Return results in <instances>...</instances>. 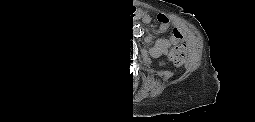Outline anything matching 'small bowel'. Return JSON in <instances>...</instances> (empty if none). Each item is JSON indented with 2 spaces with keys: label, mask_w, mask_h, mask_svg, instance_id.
Instances as JSON below:
<instances>
[{
  "label": "small bowel",
  "mask_w": 255,
  "mask_h": 122,
  "mask_svg": "<svg viewBox=\"0 0 255 122\" xmlns=\"http://www.w3.org/2000/svg\"><path fill=\"white\" fill-rule=\"evenodd\" d=\"M179 36H180L179 39L181 40L182 36H181L180 33H179ZM174 39L175 38L172 37V40H174ZM150 40H152V39H150ZM167 46H168V41L163 40V41L158 42L155 46L151 47L150 51L154 55H160V54H162L166 50Z\"/></svg>",
  "instance_id": "1"
}]
</instances>
